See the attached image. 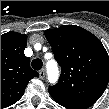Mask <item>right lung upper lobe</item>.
<instances>
[{
    "label": "right lung upper lobe",
    "mask_w": 109,
    "mask_h": 109,
    "mask_svg": "<svg viewBox=\"0 0 109 109\" xmlns=\"http://www.w3.org/2000/svg\"><path fill=\"white\" fill-rule=\"evenodd\" d=\"M26 42V35L17 32L1 35V108L17 102L29 80L39 76L24 54Z\"/></svg>",
    "instance_id": "cb5924a9"
}]
</instances>
